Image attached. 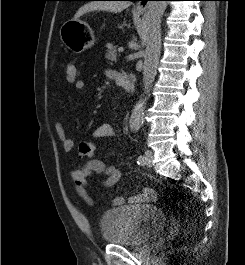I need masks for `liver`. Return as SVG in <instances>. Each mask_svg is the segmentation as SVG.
Returning <instances> with one entry per match:
<instances>
[{
  "instance_id": "6515ba94",
  "label": "liver",
  "mask_w": 245,
  "mask_h": 265,
  "mask_svg": "<svg viewBox=\"0 0 245 265\" xmlns=\"http://www.w3.org/2000/svg\"><path fill=\"white\" fill-rule=\"evenodd\" d=\"M130 6V2L127 1H94L85 4L74 15L73 19H78L80 16L87 12L101 10L108 12H121L122 10L128 8Z\"/></svg>"
}]
</instances>
